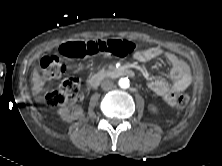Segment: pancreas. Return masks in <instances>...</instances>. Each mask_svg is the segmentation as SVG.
Segmentation results:
<instances>
[{
  "mask_svg": "<svg viewBox=\"0 0 222 166\" xmlns=\"http://www.w3.org/2000/svg\"><path fill=\"white\" fill-rule=\"evenodd\" d=\"M100 72H101V73H106L105 69H102Z\"/></svg>",
  "mask_w": 222,
  "mask_h": 166,
  "instance_id": "pancreas-1",
  "label": "pancreas"
}]
</instances>
